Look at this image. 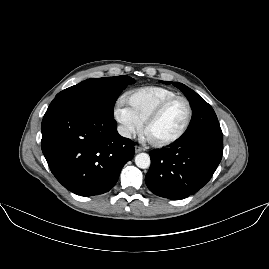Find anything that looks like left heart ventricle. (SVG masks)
Listing matches in <instances>:
<instances>
[{
    "mask_svg": "<svg viewBox=\"0 0 269 269\" xmlns=\"http://www.w3.org/2000/svg\"><path fill=\"white\" fill-rule=\"evenodd\" d=\"M187 116V107L183 101H177L169 106L165 112L150 126L148 137L154 142H163L177 135Z\"/></svg>",
    "mask_w": 269,
    "mask_h": 269,
    "instance_id": "left-heart-ventricle-1",
    "label": "left heart ventricle"
}]
</instances>
